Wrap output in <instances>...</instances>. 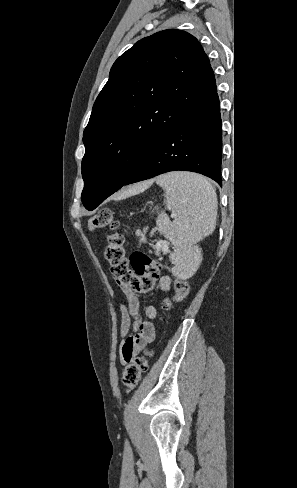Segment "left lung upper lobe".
<instances>
[{
    "label": "left lung upper lobe",
    "mask_w": 297,
    "mask_h": 488,
    "mask_svg": "<svg viewBox=\"0 0 297 488\" xmlns=\"http://www.w3.org/2000/svg\"><path fill=\"white\" fill-rule=\"evenodd\" d=\"M216 91L207 55L185 31H160L122 54L83 133L85 208L95 209L125 185L160 141Z\"/></svg>",
    "instance_id": "1"
}]
</instances>
